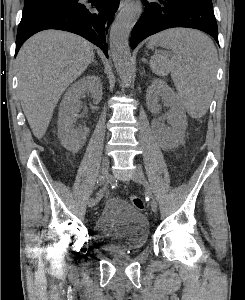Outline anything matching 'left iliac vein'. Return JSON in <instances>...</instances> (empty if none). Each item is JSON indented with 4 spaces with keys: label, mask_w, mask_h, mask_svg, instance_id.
Masks as SVG:
<instances>
[{
    "label": "left iliac vein",
    "mask_w": 245,
    "mask_h": 300,
    "mask_svg": "<svg viewBox=\"0 0 245 300\" xmlns=\"http://www.w3.org/2000/svg\"><path fill=\"white\" fill-rule=\"evenodd\" d=\"M132 180L137 182V183L143 184V185L147 184L145 175H144V173H143V171L140 167H136V169L133 173V176H132ZM150 205H151L152 211L157 212V208H158L157 207V202L153 197H151Z\"/></svg>",
    "instance_id": "1"
}]
</instances>
